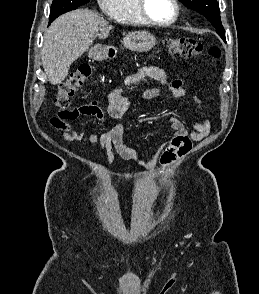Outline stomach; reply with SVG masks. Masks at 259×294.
<instances>
[{"mask_svg": "<svg viewBox=\"0 0 259 294\" xmlns=\"http://www.w3.org/2000/svg\"><path fill=\"white\" fill-rule=\"evenodd\" d=\"M157 44L155 37L146 31L132 32L123 39V46L131 51L146 52ZM104 52L100 48L95 47L90 51V56L97 59L101 58Z\"/></svg>", "mask_w": 259, "mask_h": 294, "instance_id": "0dacf381", "label": "stomach"}]
</instances>
